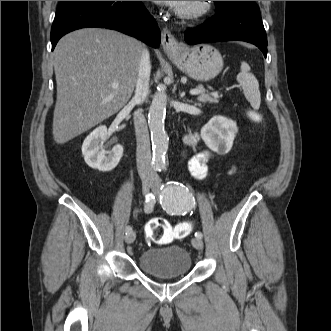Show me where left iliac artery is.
<instances>
[{
    "label": "left iliac artery",
    "mask_w": 331,
    "mask_h": 331,
    "mask_svg": "<svg viewBox=\"0 0 331 331\" xmlns=\"http://www.w3.org/2000/svg\"><path fill=\"white\" fill-rule=\"evenodd\" d=\"M161 190L160 203L168 214L185 215L194 207V197L187 186L171 181L162 185ZM195 237L201 239L203 235L198 231L195 233Z\"/></svg>",
    "instance_id": "obj_1"
}]
</instances>
